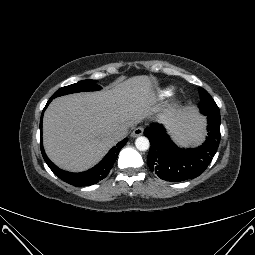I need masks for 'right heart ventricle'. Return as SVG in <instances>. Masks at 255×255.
<instances>
[{
    "instance_id": "right-heart-ventricle-1",
    "label": "right heart ventricle",
    "mask_w": 255,
    "mask_h": 255,
    "mask_svg": "<svg viewBox=\"0 0 255 255\" xmlns=\"http://www.w3.org/2000/svg\"><path fill=\"white\" fill-rule=\"evenodd\" d=\"M171 94L170 90H166L163 92V96H169Z\"/></svg>"
}]
</instances>
